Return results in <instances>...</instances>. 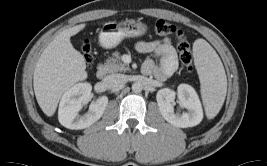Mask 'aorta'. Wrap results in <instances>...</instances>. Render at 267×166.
<instances>
[{
    "mask_svg": "<svg viewBox=\"0 0 267 166\" xmlns=\"http://www.w3.org/2000/svg\"><path fill=\"white\" fill-rule=\"evenodd\" d=\"M142 89H143V85L140 82L133 83V85H132V91L134 93H139V92L142 91Z\"/></svg>",
    "mask_w": 267,
    "mask_h": 166,
    "instance_id": "aorta-1",
    "label": "aorta"
}]
</instances>
